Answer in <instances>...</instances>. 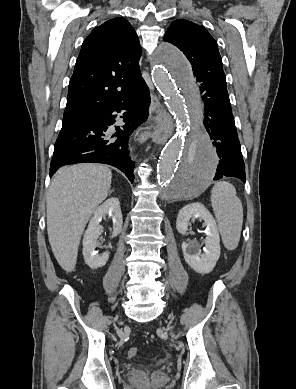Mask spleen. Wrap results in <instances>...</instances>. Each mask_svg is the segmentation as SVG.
Here are the masks:
<instances>
[{
    "label": "spleen",
    "mask_w": 296,
    "mask_h": 389,
    "mask_svg": "<svg viewBox=\"0 0 296 389\" xmlns=\"http://www.w3.org/2000/svg\"><path fill=\"white\" fill-rule=\"evenodd\" d=\"M211 204L223 244L228 250H234L238 246L243 223V207L235 187L225 181L215 183L211 190Z\"/></svg>",
    "instance_id": "1"
}]
</instances>
